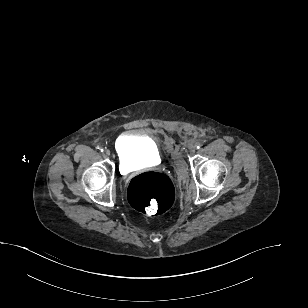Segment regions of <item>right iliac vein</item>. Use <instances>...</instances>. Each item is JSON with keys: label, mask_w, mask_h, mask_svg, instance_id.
Instances as JSON below:
<instances>
[{"label": "right iliac vein", "mask_w": 308, "mask_h": 308, "mask_svg": "<svg viewBox=\"0 0 308 308\" xmlns=\"http://www.w3.org/2000/svg\"><path fill=\"white\" fill-rule=\"evenodd\" d=\"M104 154L109 156L110 155V150H108V149L104 150Z\"/></svg>", "instance_id": "obj_1"}]
</instances>
